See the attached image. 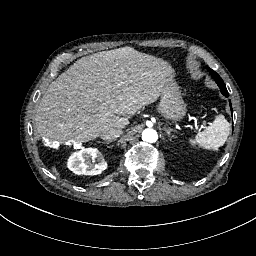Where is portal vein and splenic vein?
Here are the masks:
<instances>
[{
    "mask_svg": "<svg viewBox=\"0 0 256 256\" xmlns=\"http://www.w3.org/2000/svg\"><path fill=\"white\" fill-rule=\"evenodd\" d=\"M193 130H194V131H197L199 134H202V133H203V130H202L200 127H197V126H194V127H193Z\"/></svg>",
    "mask_w": 256,
    "mask_h": 256,
    "instance_id": "1",
    "label": "portal vein and splenic vein"
}]
</instances>
